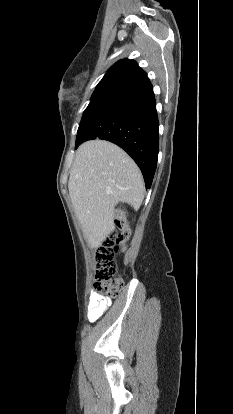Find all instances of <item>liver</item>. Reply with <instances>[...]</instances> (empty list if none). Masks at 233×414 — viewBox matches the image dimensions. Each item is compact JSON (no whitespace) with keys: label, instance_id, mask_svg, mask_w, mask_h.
<instances>
[{"label":"liver","instance_id":"6515ba94","mask_svg":"<svg viewBox=\"0 0 233 414\" xmlns=\"http://www.w3.org/2000/svg\"><path fill=\"white\" fill-rule=\"evenodd\" d=\"M68 189L84 236L98 247L115 229L116 204L137 210L145 187L138 166L120 147L92 140L76 151Z\"/></svg>","mask_w":233,"mask_h":414}]
</instances>
